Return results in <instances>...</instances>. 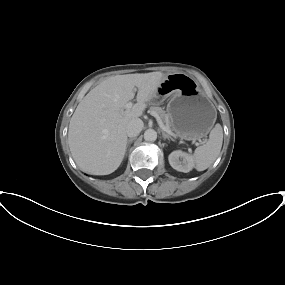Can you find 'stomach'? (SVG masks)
<instances>
[{
  "label": "stomach",
  "instance_id": "0dacf381",
  "mask_svg": "<svg viewBox=\"0 0 285 285\" xmlns=\"http://www.w3.org/2000/svg\"><path fill=\"white\" fill-rule=\"evenodd\" d=\"M168 97L171 125L181 139L197 140L210 132L217 118L216 108L192 77L184 73L165 76L150 101L159 103Z\"/></svg>",
  "mask_w": 285,
  "mask_h": 285
}]
</instances>
